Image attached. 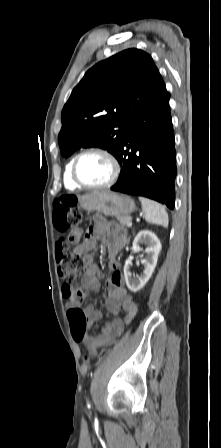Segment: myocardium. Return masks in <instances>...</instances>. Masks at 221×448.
<instances>
[{"label":"myocardium","mask_w":221,"mask_h":448,"mask_svg":"<svg viewBox=\"0 0 221 448\" xmlns=\"http://www.w3.org/2000/svg\"><path fill=\"white\" fill-rule=\"evenodd\" d=\"M89 154L103 155L109 161L111 169H112V176L107 182H105L103 184H99V185H92V184L85 183L79 177V175H78L79 163L85 156H87ZM120 173H121V165H120L118 159L116 158V156L113 153H111L109 150L103 149V148H90V149H87V150L81 152L80 154H78L76 156V158L73 161L72 167H71V178H72L73 182L75 184H77L78 186L85 188V189L109 188V187L113 186L118 181Z\"/></svg>","instance_id":"1"}]
</instances>
